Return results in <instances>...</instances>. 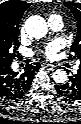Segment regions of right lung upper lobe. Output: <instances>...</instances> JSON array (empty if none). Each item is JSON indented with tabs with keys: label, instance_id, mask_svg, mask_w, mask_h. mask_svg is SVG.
<instances>
[{
	"label": "right lung upper lobe",
	"instance_id": "right-lung-upper-lobe-1",
	"mask_svg": "<svg viewBox=\"0 0 81 124\" xmlns=\"http://www.w3.org/2000/svg\"><path fill=\"white\" fill-rule=\"evenodd\" d=\"M31 5L25 1H6L0 4V42L18 38V27L24 11Z\"/></svg>",
	"mask_w": 81,
	"mask_h": 124
}]
</instances>
